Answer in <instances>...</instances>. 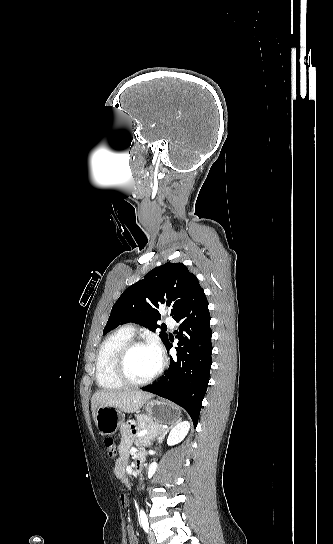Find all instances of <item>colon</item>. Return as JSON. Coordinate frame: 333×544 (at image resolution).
I'll return each mask as SVG.
<instances>
[{"label": "colon", "instance_id": "5ec220e1", "mask_svg": "<svg viewBox=\"0 0 333 544\" xmlns=\"http://www.w3.org/2000/svg\"><path fill=\"white\" fill-rule=\"evenodd\" d=\"M104 445L107 449L108 455L110 457H114L116 455V445L114 439L111 437L105 438Z\"/></svg>", "mask_w": 333, "mask_h": 544}]
</instances>
